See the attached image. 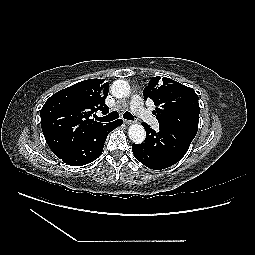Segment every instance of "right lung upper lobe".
Returning <instances> with one entry per match:
<instances>
[{
	"instance_id": "right-lung-upper-lobe-1",
	"label": "right lung upper lobe",
	"mask_w": 255,
	"mask_h": 255,
	"mask_svg": "<svg viewBox=\"0 0 255 255\" xmlns=\"http://www.w3.org/2000/svg\"><path fill=\"white\" fill-rule=\"evenodd\" d=\"M101 79L78 82L53 94L40 111L41 127L52 152L59 156L87 131L103 126L91 119L97 111L108 113V83Z\"/></svg>"
}]
</instances>
